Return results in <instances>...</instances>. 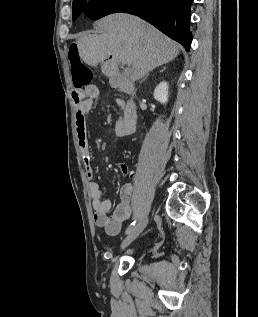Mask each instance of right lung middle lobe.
<instances>
[{"label": "right lung middle lobe", "mask_w": 258, "mask_h": 317, "mask_svg": "<svg viewBox=\"0 0 258 317\" xmlns=\"http://www.w3.org/2000/svg\"><path fill=\"white\" fill-rule=\"evenodd\" d=\"M119 0H73V21H75L84 10L89 13V18L99 19L114 13V8Z\"/></svg>", "instance_id": "dd1d6c3e"}]
</instances>
